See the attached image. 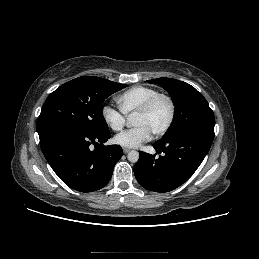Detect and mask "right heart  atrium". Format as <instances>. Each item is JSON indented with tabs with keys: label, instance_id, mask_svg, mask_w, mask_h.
<instances>
[{
	"label": "right heart atrium",
	"instance_id": "right-heart-atrium-1",
	"mask_svg": "<svg viewBox=\"0 0 259 259\" xmlns=\"http://www.w3.org/2000/svg\"><path fill=\"white\" fill-rule=\"evenodd\" d=\"M101 116L105 124L113 131L122 130L126 122L125 114L110 105L102 106Z\"/></svg>",
	"mask_w": 259,
	"mask_h": 259
}]
</instances>
